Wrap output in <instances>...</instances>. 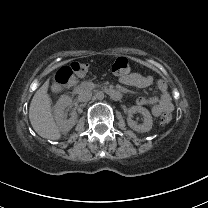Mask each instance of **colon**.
<instances>
[{
    "instance_id": "obj_1",
    "label": "colon",
    "mask_w": 208,
    "mask_h": 208,
    "mask_svg": "<svg viewBox=\"0 0 208 208\" xmlns=\"http://www.w3.org/2000/svg\"><path fill=\"white\" fill-rule=\"evenodd\" d=\"M72 70H84L81 62H73L70 65ZM111 72L115 75H125L130 72V64L127 58L118 57L111 66ZM171 123V116L169 114H163L159 118L160 126H168Z\"/></svg>"
}]
</instances>
